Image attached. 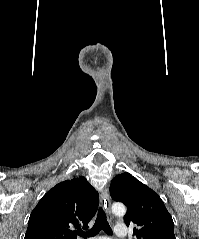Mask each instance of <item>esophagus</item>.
Wrapping results in <instances>:
<instances>
[{"label": "esophagus", "mask_w": 199, "mask_h": 239, "mask_svg": "<svg viewBox=\"0 0 199 239\" xmlns=\"http://www.w3.org/2000/svg\"><path fill=\"white\" fill-rule=\"evenodd\" d=\"M100 203L106 211V215H107L108 220L112 221L113 220V215H112L111 210H110L111 202H110L109 192H108L107 188L101 190Z\"/></svg>", "instance_id": "1"}]
</instances>
